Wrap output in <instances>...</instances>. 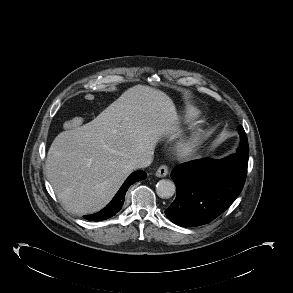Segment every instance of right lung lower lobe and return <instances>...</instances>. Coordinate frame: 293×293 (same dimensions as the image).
<instances>
[{"label": "right lung lower lobe", "instance_id": "right-lung-lower-lobe-1", "mask_svg": "<svg viewBox=\"0 0 293 293\" xmlns=\"http://www.w3.org/2000/svg\"><path fill=\"white\" fill-rule=\"evenodd\" d=\"M146 176L147 174L144 171H136L132 173L121 186V188L119 189L115 197L112 199V201L104 209L93 215H86L84 216V218L92 221H101L115 215L121 209L124 203L125 193L129 186L135 183L136 181L145 179Z\"/></svg>", "mask_w": 293, "mask_h": 293}]
</instances>
